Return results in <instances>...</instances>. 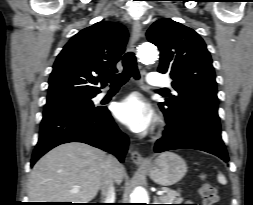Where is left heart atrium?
I'll return each mask as SVG.
<instances>
[{"label": "left heart atrium", "instance_id": "left-heart-atrium-1", "mask_svg": "<svg viewBox=\"0 0 253 205\" xmlns=\"http://www.w3.org/2000/svg\"><path fill=\"white\" fill-rule=\"evenodd\" d=\"M116 118L136 133L144 132L154 122V112L150 105L138 94H132L115 106Z\"/></svg>", "mask_w": 253, "mask_h": 205}]
</instances>
